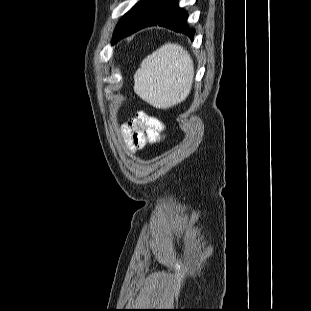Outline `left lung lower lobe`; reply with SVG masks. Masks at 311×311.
<instances>
[{
  "mask_svg": "<svg viewBox=\"0 0 311 311\" xmlns=\"http://www.w3.org/2000/svg\"><path fill=\"white\" fill-rule=\"evenodd\" d=\"M188 14L179 8L177 0H141L116 26L112 44L143 28L163 26L193 39L195 29L187 25Z\"/></svg>",
  "mask_w": 311,
  "mask_h": 311,
  "instance_id": "1",
  "label": "left lung lower lobe"
}]
</instances>
